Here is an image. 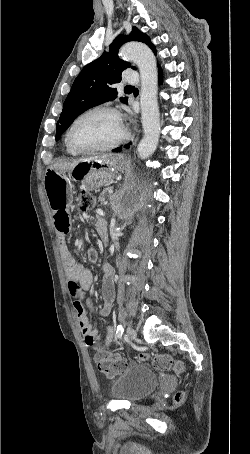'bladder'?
I'll return each instance as SVG.
<instances>
[{"label":"bladder","instance_id":"31cf9c89","mask_svg":"<svg viewBox=\"0 0 250 454\" xmlns=\"http://www.w3.org/2000/svg\"><path fill=\"white\" fill-rule=\"evenodd\" d=\"M159 375L146 365H134L115 376L110 394L118 400L136 402L148 396L157 386Z\"/></svg>","mask_w":250,"mask_h":454}]
</instances>
